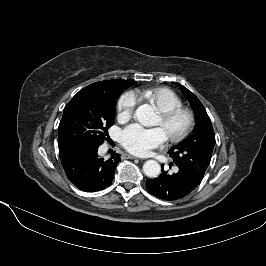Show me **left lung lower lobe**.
Here are the masks:
<instances>
[{
  "label": "left lung lower lobe",
  "instance_id": "obj_1",
  "mask_svg": "<svg viewBox=\"0 0 266 266\" xmlns=\"http://www.w3.org/2000/svg\"><path fill=\"white\" fill-rule=\"evenodd\" d=\"M200 182L186 169L179 167L177 173L169 175L162 171L158 178L147 180L146 187L152 195L166 201H174L190 194Z\"/></svg>",
  "mask_w": 266,
  "mask_h": 266
}]
</instances>
